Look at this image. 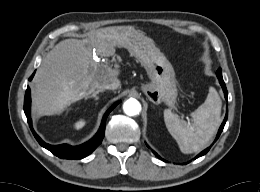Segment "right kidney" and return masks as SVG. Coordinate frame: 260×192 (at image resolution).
<instances>
[{"label":"right kidney","instance_id":"ca27d5eb","mask_svg":"<svg viewBox=\"0 0 260 192\" xmlns=\"http://www.w3.org/2000/svg\"><path fill=\"white\" fill-rule=\"evenodd\" d=\"M84 125H85V121L80 120V121H78V122L75 124V128H76V129H80V128H82Z\"/></svg>","mask_w":260,"mask_h":192}]
</instances>
